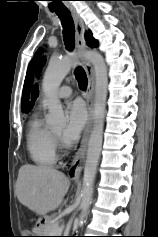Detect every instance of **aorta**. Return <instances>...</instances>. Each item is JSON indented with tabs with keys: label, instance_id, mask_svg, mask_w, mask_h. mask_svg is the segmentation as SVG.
Masks as SVG:
<instances>
[{
	"label": "aorta",
	"instance_id": "obj_1",
	"mask_svg": "<svg viewBox=\"0 0 158 237\" xmlns=\"http://www.w3.org/2000/svg\"><path fill=\"white\" fill-rule=\"evenodd\" d=\"M80 57H84L90 61L95 71L94 122L88 143L81 190L80 221H82L92 200L94 180L102 149L108 87L107 67L103 57L98 52L86 51L83 54L71 53L62 59L50 60L43 77L42 89L48 97L49 114L46 120L47 124L50 126H64L66 124V117L62 104L57 97V90Z\"/></svg>",
	"mask_w": 158,
	"mask_h": 237
}]
</instances>
